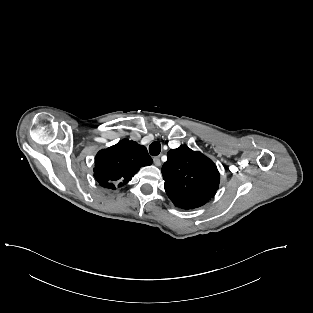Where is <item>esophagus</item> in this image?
Returning a JSON list of instances; mask_svg holds the SVG:
<instances>
[{
	"label": "esophagus",
	"mask_w": 313,
	"mask_h": 313,
	"mask_svg": "<svg viewBox=\"0 0 313 313\" xmlns=\"http://www.w3.org/2000/svg\"><path fill=\"white\" fill-rule=\"evenodd\" d=\"M153 161H154V164L156 165V166H160L161 165V160H160V158L159 157H154L153 158Z\"/></svg>",
	"instance_id": "esophagus-1"
}]
</instances>
